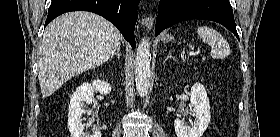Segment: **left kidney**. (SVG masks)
Segmentation results:
<instances>
[{
	"instance_id": "5707ae66",
	"label": "left kidney",
	"mask_w": 280,
	"mask_h": 137,
	"mask_svg": "<svg viewBox=\"0 0 280 137\" xmlns=\"http://www.w3.org/2000/svg\"><path fill=\"white\" fill-rule=\"evenodd\" d=\"M190 101L194 106L195 121L189 126L185 124L184 119H175L174 127L177 137H201L210 123L209 99L201 83H195L191 87Z\"/></svg>"
}]
</instances>
